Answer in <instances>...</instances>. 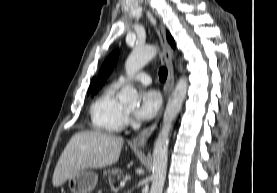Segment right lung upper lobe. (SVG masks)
I'll return each mask as SVG.
<instances>
[{
	"instance_id": "cb5924a9",
	"label": "right lung upper lobe",
	"mask_w": 277,
	"mask_h": 193,
	"mask_svg": "<svg viewBox=\"0 0 277 193\" xmlns=\"http://www.w3.org/2000/svg\"><path fill=\"white\" fill-rule=\"evenodd\" d=\"M166 36H167V39H168L169 43L174 47V46H175V43H174V40H173V38L171 37V35L167 32ZM92 83H93V82H92ZM92 83H91V86H90V88H89V91L91 90Z\"/></svg>"
}]
</instances>
